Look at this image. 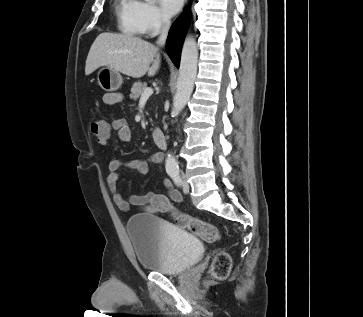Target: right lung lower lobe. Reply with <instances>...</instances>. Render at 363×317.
I'll use <instances>...</instances> for the list:
<instances>
[{"label":"right lung lower lobe","instance_id":"right-lung-lower-lobe-1","mask_svg":"<svg viewBox=\"0 0 363 317\" xmlns=\"http://www.w3.org/2000/svg\"><path fill=\"white\" fill-rule=\"evenodd\" d=\"M189 24V13L180 16L171 26L166 42L169 57L176 67L179 66L182 44Z\"/></svg>","mask_w":363,"mask_h":317}]
</instances>
